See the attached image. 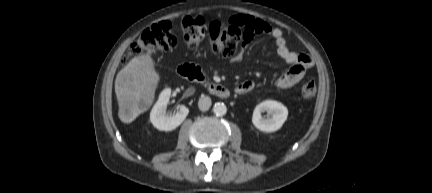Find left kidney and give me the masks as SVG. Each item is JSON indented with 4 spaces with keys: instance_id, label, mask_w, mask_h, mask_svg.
Masks as SVG:
<instances>
[{
    "instance_id": "1",
    "label": "left kidney",
    "mask_w": 432,
    "mask_h": 193,
    "mask_svg": "<svg viewBox=\"0 0 432 193\" xmlns=\"http://www.w3.org/2000/svg\"><path fill=\"white\" fill-rule=\"evenodd\" d=\"M267 111L271 118H263L261 112ZM288 116V109L275 100H265L258 104L252 116L253 125L263 132H275L282 127Z\"/></svg>"
}]
</instances>
